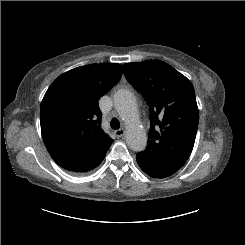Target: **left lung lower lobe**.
<instances>
[{
    "label": "left lung lower lobe",
    "instance_id": "1",
    "mask_svg": "<svg viewBox=\"0 0 245 245\" xmlns=\"http://www.w3.org/2000/svg\"><path fill=\"white\" fill-rule=\"evenodd\" d=\"M140 168L149 176L164 178L176 173L180 168L164 159H152L143 153L136 155Z\"/></svg>",
    "mask_w": 245,
    "mask_h": 245
}]
</instances>
